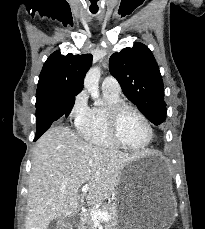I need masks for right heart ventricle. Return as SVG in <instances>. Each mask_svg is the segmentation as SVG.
I'll use <instances>...</instances> for the list:
<instances>
[{
  "label": "right heart ventricle",
  "instance_id": "1",
  "mask_svg": "<svg viewBox=\"0 0 205 229\" xmlns=\"http://www.w3.org/2000/svg\"><path fill=\"white\" fill-rule=\"evenodd\" d=\"M105 104L90 108L85 122L78 126L81 137L93 146L116 149L118 146L111 139L108 132L107 110L111 105L122 102L119 95L103 90Z\"/></svg>",
  "mask_w": 205,
  "mask_h": 229
}]
</instances>
